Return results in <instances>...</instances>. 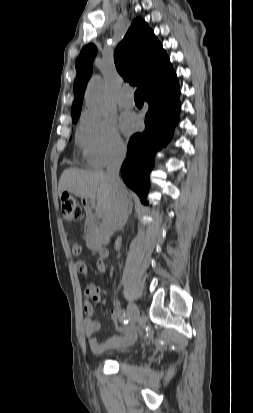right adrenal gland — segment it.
Instances as JSON below:
<instances>
[{
    "mask_svg": "<svg viewBox=\"0 0 253 413\" xmlns=\"http://www.w3.org/2000/svg\"><path fill=\"white\" fill-rule=\"evenodd\" d=\"M131 213H132V205H130L129 210L127 211V214L125 216V220H124V222L122 223V225L120 227L121 229H123L124 226L126 225V223L128 222V218H129Z\"/></svg>",
    "mask_w": 253,
    "mask_h": 413,
    "instance_id": "right-adrenal-gland-1",
    "label": "right adrenal gland"
}]
</instances>
